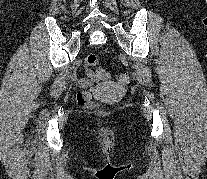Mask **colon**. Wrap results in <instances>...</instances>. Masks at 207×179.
Segmentation results:
<instances>
[{
    "label": "colon",
    "mask_w": 207,
    "mask_h": 179,
    "mask_svg": "<svg viewBox=\"0 0 207 179\" xmlns=\"http://www.w3.org/2000/svg\"><path fill=\"white\" fill-rule=\"evenodd\" d=\"M97 62H98V59L95 54H88L85 57V64L88 68L97 65ZM97 75H98L99 79L102 81H107L110 78L109 72L104 69H100V68L97 70ZM119 82L123 85L129 84V82H130L129 74H127V73L121 74L119 77ZM77 100H78V103L81 107H88L93 104L92 94L88 91L79 92L77 95Z\"/></svg>",
    "instance_id": "5ec220e1"
}]
</instances>
